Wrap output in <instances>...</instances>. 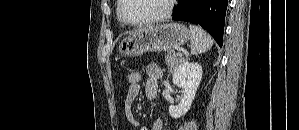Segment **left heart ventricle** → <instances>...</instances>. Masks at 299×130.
Returning a JSON list of instances; mask_svg holds the SVG:
<instances>
[{
    "instance_id": "1",
    "label": "left heart ventricle",
    "mask_w": 299,
    "mask_h": 130,
    "mask_svg": "<svg viewBox=\"0 0 299 130\" xmlns=\"http://www.w3.org/2000/svg\"><path fill=\"white\" fill-rule=\"evenodd\" d=\"M168 0H127L125 17L131 22H142L161 15L167 8Z\"/></svg>"
}]
</instances>
